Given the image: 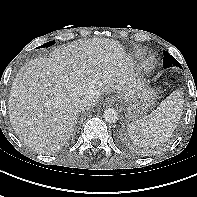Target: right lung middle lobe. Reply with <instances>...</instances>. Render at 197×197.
Listing matches in <instances>:
<instances>
[{"label": "right lung middle lobe", "instance_id": "obj_1", "mask_svg": "<svg viewBox=\"0 0 197 197\" xmlns=\"http://www.w3.org/2000/svg\"><path fill=\"white\" fill-rule=\"evenodd\" d=\"M54 43H55V41H50V42H47V43L43 44L39 48L49 47V46L53 45Z\"/></svg>", "mask_w": 197, "mask_h": 197}]
</instances>
